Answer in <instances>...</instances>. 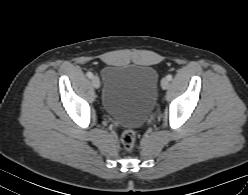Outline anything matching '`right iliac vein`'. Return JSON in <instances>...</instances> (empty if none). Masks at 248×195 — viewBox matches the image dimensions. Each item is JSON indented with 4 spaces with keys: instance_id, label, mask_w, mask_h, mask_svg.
I'll return each mask as SVG.
<instances>
[{
    "instance_id": "1",
    "label": "right iliac vein",
    "mask_w": 248,
    "mask_h": 195,
    "mask_svg": "<svg viewBox=\"0 0 248 195\" xmlns=\"http://www.w3.org/2000/svg\"><path fill=\"white\" fill-rule=\"evenodd\" d=\"M92 85L95 88H99L100 87V80L97 76L92 77Z\"/></svg>"
}]
</instances>
